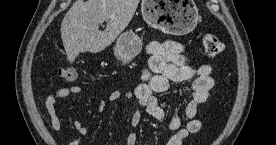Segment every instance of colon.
Returning a JSON list of instances; mask_svg holds the SVG:
<instances>
[{
  "label": "colon",
  "mask_w": 276,
  "mask_h": 145,
  "mask_svg": "<svg viewBox=\"0 0 276 145\" xmlns=\"http://www.w3.org/2000/svg\"><path fill=\"white\" fill-rule=\"evenodd\" d=\"M202 43L208 55H218L224 50L223 42L213 34H203ZM59 74L67 81H76L79 78V71L75 67H61L59 69Z\"/></svg>",
  "instance_id": "1"
}]
</instances>
